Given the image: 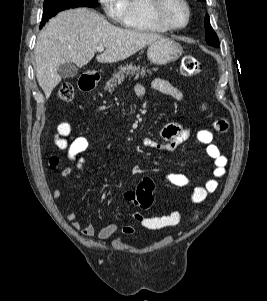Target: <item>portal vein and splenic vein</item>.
Instances as JSON below:
<instances>
[{
  "instance_id": "portal-vein-and-splenic-vein-1",
  "label": "portal vein and splenic vein",
  "mask_w": 267,
  "mask_h": 301,
  "mask_svg": "<svg viewBox=\"0 0 267 301\" xmlns=\"http://www.w3.org/2000/svg\"><path fill=\"white\" fill-rule=\"evenodd\" d=\"M104 47H102V46H98L97 48H96V50L98 51V52H102V51H104Z\"/></svg>"
}]
</instances>
